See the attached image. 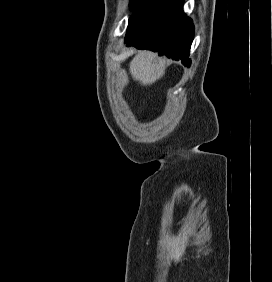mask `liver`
Segmentation results:
<instances>
[{"mask_svg": "<svg viewBox=\"0 0 272 282\" xmlns=\"http://www.w3.org/2000/svg\"><path fill=\"white\" fill-rule=\"evenodd\" d=\"M166 61L150 51H140L130 62L129 71L142 85H152L165 74Z\"/></svg>", "mask_w": 272, "mask_h": 282, "instance_id": "liver-1", "label": "liver"}]
</instances>
